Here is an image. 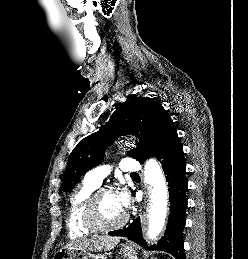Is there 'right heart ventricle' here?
Returning <instances> with one entry per match:
<instances>
[{
    "label": "right heart ventricle",
    "mask_w": 248,
    "mask_h": 259,
    "mask_svg": "<svg viewBox=\"0 0 248 259\" xmlns=\"http://www.w3.org/2000/svg\"><path fill=\"white\" fill-rule=\"evenodd\" d=\"M97 187L84 179L71 193L66 220L70 236L83 237L93 232L85 225L82 214L86 200Z\"/></svg>",
    "instance_id": "e07e8e85"
}]
</instances>
